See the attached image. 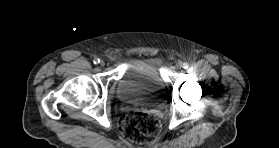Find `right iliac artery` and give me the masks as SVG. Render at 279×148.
<instances>
[{"instance_id":"obj_1","label":"right iliac artery","mask_w":279,"mask_h":148,"mask_svg":"<svg viewBox=\"0 0 279 148\" xmlns=\"http://www.w3.org/2000/svg\"><path fill=\"white\" fill-rule=\"evenodd\" d=\"M93 62H94V64H98V63H100V59H99V58H95V59L93 60Z\"/></svg>"}]
</instances>
